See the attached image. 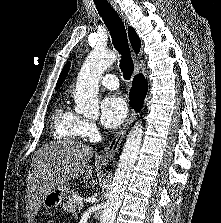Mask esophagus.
Returning <instances> with one entry per match:
<instances>
[{"label": "esophagus", "instance_id": "esophagus-1", "mask_svg": "<svg viewBox=\"0 0 221 223\" xmlns=\"http://www.w3.org/2000/svg\"><path fill=\"white\" fill-rule=\"evenodd\" d=\"M114 6H115V9L118 11L117 6L115 4H114ZM123 20L125 21L124 18H123ZM133 60H134V65H135L134 75H136L140 71L138 57L136 54H133ZM133 118H134V112H133V110H131V112L128 115V118L126 119V121L124 122V124L122 125V127L118 131V133L113 137V139L109 143L108 147L97 157V160L99 163L104 164V163H108V162L112 161V159L114 158V156L116 155V153L120 147V144H121L127 130L130 127V124H131Z\"/></svg>", "mask_w": 221, "mask_h": 223}]
</instances>
